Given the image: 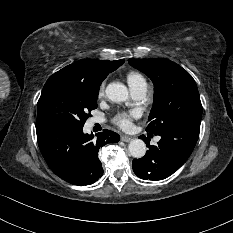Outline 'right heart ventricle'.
I'll return each instance as SVG.
<instances>
[{
  "label": "right heart ventricle",
  "mask_w": 233,
  "mask_h": 233,
  "mask_svg": "<svg viewBox=\"0 0 233 233\" xmlns=\"http://www.w3.org/2000/svg\"><path fill=\"white\" fill-rule=\"evenodd\" d=\"M126 79L131 90L141 87L147 88L145 77L137 71L128 72L126 75Z\"/></svg>",
  "instance_id": "1"
}]
</instances>
